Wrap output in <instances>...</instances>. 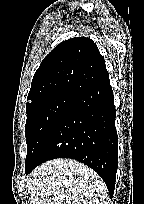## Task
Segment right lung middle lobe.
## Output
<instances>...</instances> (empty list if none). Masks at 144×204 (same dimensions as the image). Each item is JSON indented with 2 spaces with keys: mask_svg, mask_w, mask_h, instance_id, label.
Wrapping results in <instances>:
<instances>
[{
  "mask_svg": "<svg viewBox=\"0 0 144 204\" xmlns=\"http://www.w3.org/2000/svg\"><path fill=\"white\" fill-rule=\"evenodd\" d=\"M74 97L75 95L67 93L58 94L26 108L27 156L25 170L32 165L36 154Z\"/></svg>",
  "mask_w": 144,
  "mask_h": 204,
  "instance_id": "1",
  "label": "right lung middle lobe"
}]
</instances>
